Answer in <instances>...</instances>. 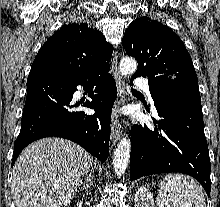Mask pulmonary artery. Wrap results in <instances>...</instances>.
<instances>
[{
    "instance_id": "e3ab8cb5",
    "label": "pulmonary artery",
    "mask_w": 220,
    "mask_h": 207,
    "mask_svg": "<svg viewBox=\"0 0 220 207\" xmlns=\"http://www.w3.org/2000/svg\"><path fill=\"white\" fill-rule=\"evenodd\" d=\"M135 86L139 89L146 91L150 96L149 84L146 79L138 78L135 80ZM150 101L153 103V100L150 97Z\"/></svg>"
}]
</instances>
